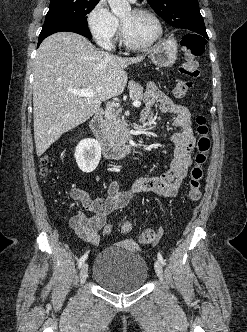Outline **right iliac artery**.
<instances>
[{"mask_svg":"<svg viewBox=\"0 0 247 332\" xmlns=\"http://www.w3.org/2000/svg\"><path fill=\"white\" fill-rule=\"evenodd\" d=\"M87 256H88L87 253H85V254L79 259V261H78V268H81V267H82L84 261L87 259Z\"/></svg>","mask_w":247,"mask_h":332,"instance_id":"right-iliac-artery-1","label":"right iliac artery"}]
</instances>
